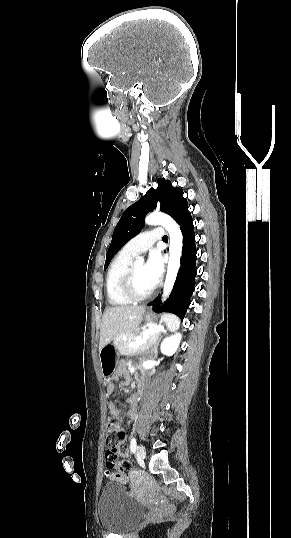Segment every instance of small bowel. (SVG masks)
<instances>
[{
	"label": "small bowel",
	"mask_w": 291,
	"mask_h": 538,
	"mask_svg": "<svg viewBox=\"0 0 291 538\" xmlns=\"http://www.w3.org/2000/svg\"><path fill=\"white\" fill-rule=\"evenodd\" d=\"M120 374H121V370H117L115 376L111 380L108 381L106 385V393L108 396H111L114 393L115 391L114 381L118 379ZM138 399H139L138 394H133L127 399V403H128V409L126 411L127 415L129 416L135 415L137 406H138ZM108 411L111 415L117 418L122 414V411L113 402H110L108 404ZM123 441H124V438L120 441L118 446H120L123 443ZM118 456H120L121 458H127L129 454L127 451H120L118 449Z\"/></svg>",
	"instance_id": "obj_1"
}]
</instances>
